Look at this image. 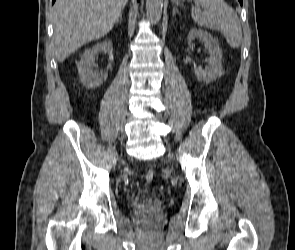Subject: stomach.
Returning a JSON list of instances; mask_svg holds the SVG:
<instances>
[{
	"instance_id": "0dacf381",
	"label": "stomach",
	"mask_w": 295,
	"mask_h": 250,
	"mask_svg": "<svg viewBox=\"0 0 295 250\" xmlns=\"http://www.w3.org/2000/svg\"><path fill=\"white\" fill-rule=\"evenodd\" d=\"M172 1L175 2V3H178V2H180L182 0H172Z\"/></svg>"
}]
</instances>
